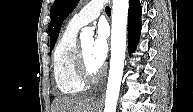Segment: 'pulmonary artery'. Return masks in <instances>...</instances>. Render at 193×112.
<instances>
[{
    "instance_id": "1",
    "label": "pulmonary artery",
    "mask_w": 193,
    "mask_h": 112,
    "mask_svg": "<svg viewBox=\"0 0 193 112\" xmlns=\"http://www.w3.org/2000/svg\"><path fill=\"white\" fill-rule=\"evenodd\" d=\"M104 7L102 0H93L86 4L69 22L73 28L80 29L95 20Z\"/></svg>"
}]
</instances>
